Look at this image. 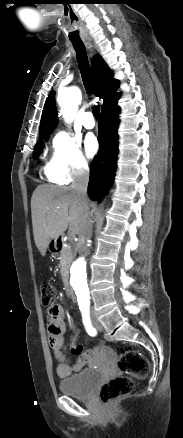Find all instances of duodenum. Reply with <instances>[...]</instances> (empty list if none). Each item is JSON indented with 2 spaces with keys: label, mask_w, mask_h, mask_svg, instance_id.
Instances as JSON below:
<instances>
[{
  "label": "duodenum",
  "mask_w": 183,
  "mask_h": 438,
  "mask_svg": "<svg viewBox=\"0 0 183 438\" xmlns=\"http://www.w3.org/2000/svg\"><path fill=\"white\" fill-rule=\"evenodd\" d=\"M59 244H60V242H59ZM66 291H67V295H68L69 299L73 302L76 301L75 293H74L73 289L71 287H69L68 284L66 285Z\"/></svg>",
  "instance_id": "duodenum-1"
}]
</instances>
